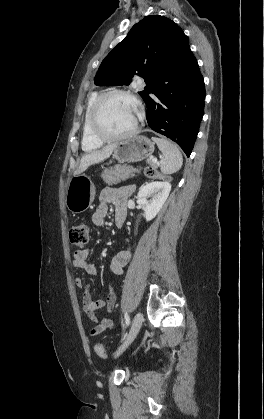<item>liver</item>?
I'll use <instances>...</instances> for the list:
<instances>
[{
    "instance_id": "liver-1",
    "label": "liver",
    "mask_w": 264,
    "mask_h": 419,
    "mask_svg": "<svg viewBox=\"0 0 264 419\" xmlns=\"http://www.w3.org/2000/svg\"><path fill=\"white\" fill-rule=\"evenodd\" d=\"M115 147H116V144H110L103 147L101 150H94L90 153L83 155L80 160L79 167L74 172V175H79L85 170H87V168L91 166L92 164L99 163L105 160L106 158L110 157Z\"/></svg>"
}]
</instances>
